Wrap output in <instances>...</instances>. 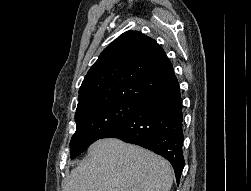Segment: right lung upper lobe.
<instances>
[{
	"label": "right lung upper lobe",
	"mask_w": 251,
	"mask_h": 191,
	"mask_svg": "<svg viewBox=\"0 0 251 191\" xmlns=\"http://www.w3.org/2000/svg\"><path fill=\"white\" fill-rule=\"evenodd\" d=\"M176 81L158 43L127 31L103 50L88 71L79 89L77 111L114 101L141 105Z\"/></svg>",
	"instance_id": "cb5924a9"
}]
</instances>
